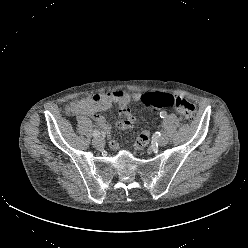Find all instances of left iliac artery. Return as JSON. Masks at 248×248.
I'll return each mask as SVG.
<instances>
[{
    "label": "left iliac artery",
    "instance_id": "1",
    "mask_svg": "<svg viewBox=\"0 0 248 248\" xmlns=\"http://www.w3.org/2000/svg\"><path fill=\"white\" fill-rule=\"evenodd\" d=\"M166 116H167L166 111H161V112H160V117H161V118H165ZM162 134H163V132H161V133L159 132V135H162Z\"/></svg>",
    "mask_w": 248,
    "mask_h": 248
}]
</instances>
